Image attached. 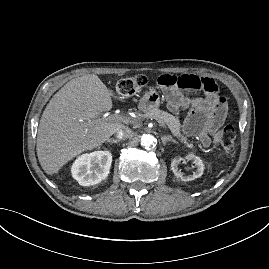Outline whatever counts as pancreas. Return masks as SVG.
Here are the masks:
<instances>
[{
	"instance_id": "1",
	"label": "pancreas",
	"mask_w": 269,
	"mask_h": 269,
	"mask_svg": "<svg viewBox=\"0 0 269 269\" xmlns=\"http://www.w3.org/2000/svg\"><path fill=\"white\" fill-rule=\"evenodd\" d=\"M142 118L156 119L158 122H161L163 125L167 126L172 134L176 136L182 143H184L186 147L194 149L193 144L189 143L187 137L181 133V123L179 119L175 118L168 112L162 111L160 109H154L146 112V114L142 115Z\"/></svg>"
}]
</instances>
